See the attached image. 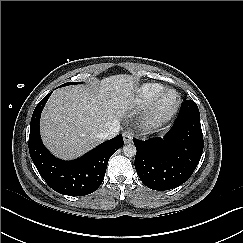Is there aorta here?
I'll return each mask as SVG.
<instances>
[{"label":"aorta","instance_id":"762f6f07","mask_svg":"<svg viewBox=\"0 0 243 243\" xmlns=\"http://www.w3.org/2000/svg\"><path fill=\"white\" fill-rule=\"evenodd\" d=\"M136 147L134 144H127L123 147V153L127 157H134L136 155Z\"/></svg>","mask_w":243,"mask_h":243}]
</instances>
